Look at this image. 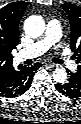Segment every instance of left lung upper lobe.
I'll list each match as a JSON object with an SVG mask.
<instances>
[{"mask_svg":"<svg viewBox=\"0 0 81 124\" xmlns=\"http://www.w3.org/2000/svg\"><path fill=\"white\" fill-rule=\"evenodd\" d=\"M69 17L71 27V50L74 52V59L79 65L81 71V7L75 4H61Z\"/></svg>","mask_w":81,"mask_h":124,"instance_id":"5c2ea615","label":"left lung upper lobe"}]
</instances>
